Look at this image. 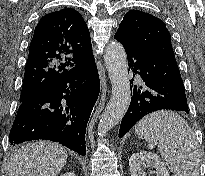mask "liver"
I'll return each instance as SVG.
<instances>
[{
  "mask_svg": "<svg viewBox=\"0 0 205 176\" xmlns=\"http://www.w3.org/2000/svg\"><path fill=\"white\" fill-rule=\"evenodd\" d=\"M67 161V151L57 143L37 141L17 150L9 163V176H57Z\"/></svg>",
  "mask_w": 205,
  "mask_h": 176,
  "instance_id": "obj_1",
  "label": "liver"
}]
</instances>
